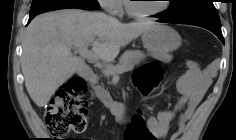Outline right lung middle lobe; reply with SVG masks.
<instances>
[{"instance_id":"obj_1","label":"right lung middle lobe","mask_w":236,"mask_h":140,"mask_svg":"<svg viewBox=\"0 0 236 140\" xmlns=\"http://www.w3.org/2000/svg\"><path fill=\"white\" fill-rule=\"evenodd\" d=\"M64 8L98 10L100 5L97 0H33L30 15Z\"/></svg>"}]
</instances>
